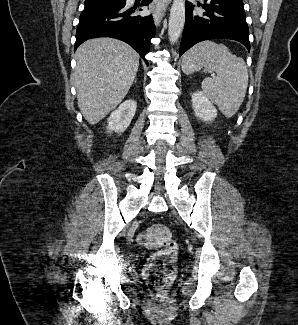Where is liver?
I'll use <instances>...</instances> for the list:
<instances>
[{
	"label": "liver",
	"mask_w": 298,
	"mask_h": 325,
	"mask_svg": "<svg viewBox=\"0 0 298 325\" xmlns=\"http://www.w3.org/2000/svg\"><path fill=\"white\" fill-rule=\"evenodd\" d=\"M139 54L116 38H90L76 50L77 102L85 120L96 124L126 96L138 70Z\"/></svg>",
	"instance_id": "liver-1"
}]
</instances>
